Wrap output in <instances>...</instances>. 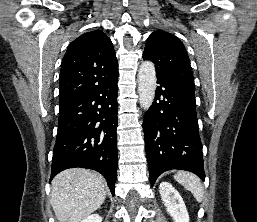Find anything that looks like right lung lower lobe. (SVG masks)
Here are the masks:
<instances>
[{
  "label": "right lung lower lobe",
  "mask_w": 257,
  "mask_h": 222,
  "mask_svg": "<svg viewBox=\"0 0 257 222\" xmlns=\"http://www.w3.org/2000/svg\"><path fill=\"white\" fill-rule=\"evenodd\" d=\"M118 71L90 93L60 106L51 179L67 168L101 173L112 195L117 178Z\"/></svg>",
  "instance_id": "1"
}]
</instances>
